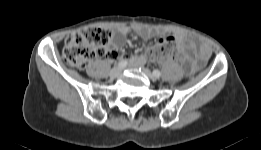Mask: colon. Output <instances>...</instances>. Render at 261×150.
Segmentation results:
<instances>
[{
  "mask_svg": "<svg viewBox=\"0 0 261 150\" xmlns=\"http://www.w3.org/2000/svg\"><path fill=\"white\" fill-rule=\"evenodd\" d=\"M112 38L109 29L89 27L70 34L62 51V58L69 66L80 69L87 67L96 57L106 56L107 46ZM149 55L155 61H183L184 53L173 37L158 40Z\"/></svg>",
  "mask_w": 261,
  "mask_h": 150,
  "instance_id": "obj_1",
  "label": "colon"
}]
</instances>
